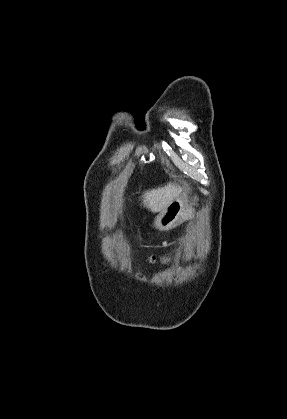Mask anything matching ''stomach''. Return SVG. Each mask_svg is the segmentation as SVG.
<instances>
[{"label":"stomach","mask_w":287,"mask_h":419,"mask_svg":"<svg viewBox=\"0 0 287 419\" xmlns=\"http://www.w3.org/2000/svg\"><path fill=\"white\" fill-rule=\"evenodd\" d=\"M190 214L185 194H181L174 199L162 212L157 216L154 226L158 229H168L173 226L177 220L184 218Z\"/></svg>","instance_id":"obj_1"}]
</instances>
